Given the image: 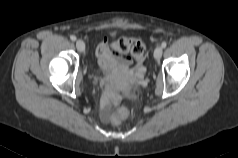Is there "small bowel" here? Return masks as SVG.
Wrapping results in <instances>:
<instances>
[{
	"mask_svg": "<svg viewBox=\"0 0 238 158\" xmlns=\"http://www.w3.org/2000/svg\"><path fill=\"white\" fill-rule=\"evenodd\" d=\"M113 50H115L113 43L108 44L106 39L98 46L96 56L98 63L102 68H110L118 61L122 62L123 64H130L131 61L128 57L119 53H115ZM105 102L108 103V100L106 99Z\"/></svg>",
	"mask_w": 238,
	"mask_h": 158,
	"instance_id": "obj_1",
	"label": "small bowel"
}]
</instances>
